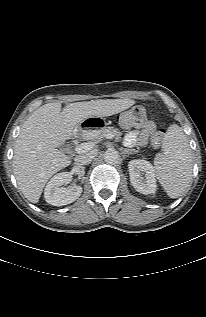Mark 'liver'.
I'll use <instances>...</instances> for the list:
<instances>
[{
  "mask_svg": "<svg viewBox=\"0 0 206 317\" xmlns=\"http://www.w3.org/2000/svg\"><path fill=\"white\" fill-rule=\"evenodd\" d=\"M134 104L132 99H99L70 103L63 110L59 102L36 109L23 123L14 147L13 170L23 195L37 203L51 176L71 164L57 148L74 135L79 123L93 116H112Z\"/></svg>",
  "mask_w": 206,
  "mask_h": 317,
  "instance_id": "1",
  "label": "liver"
}]
</instances>
